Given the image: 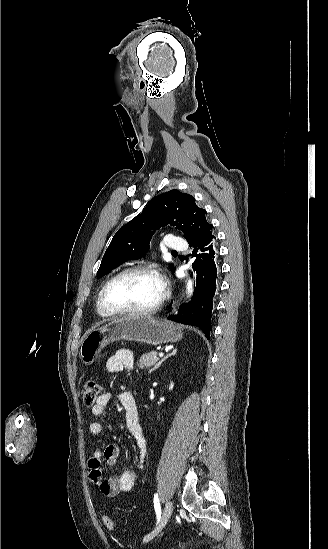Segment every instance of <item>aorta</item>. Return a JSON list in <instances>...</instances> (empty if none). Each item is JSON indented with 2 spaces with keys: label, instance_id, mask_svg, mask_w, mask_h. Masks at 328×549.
Segmentation results:
<instances>
[{
  "label": "aorta",
  "instance_id": "762f6f07",
  "mask_svg": "<svg viewBox=\"0 0 328 549\" xmlns=\"http://www.w3.org/2000/svg\"><path fill=\"white\" fill-rule=\"evenodd\" d=\"M193 292V282L191 280L187 283V294L188 296H191Z\"/></svg>",
  "mask_w": 328,
  "mask_h": 549
}]
</instances>
